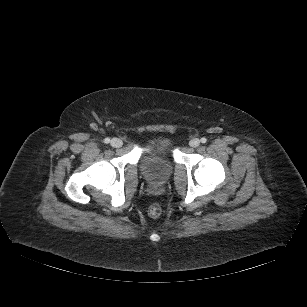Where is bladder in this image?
<instances>
[{
  "instance_id": "1",
  "label": "bladder",
  "mask_w": 307,
  "mask_h": 307,
  "mask_svg": "<svg viewBox=\"0 0 307 307\" xmlns=\"http://www.w3.org/2000/svg\"><path fill=\"white\" fill-rule=\"evenodd\" d=\"M172 138L168 135H153L142 159V172L147 181L162 183L166 181L173 170Z\"/></svg>"
}]
</instances>
